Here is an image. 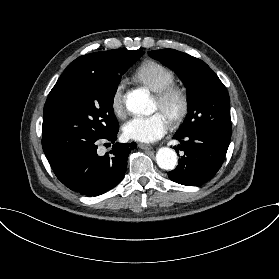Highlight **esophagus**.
Returning <instances> with one entry per match:
<instances>
[{"label": "esophagus", "mask_w": 279, "mask_h": 279, "mask_svg": "<svg viewBox=\"0 0 279 279\" xmlns=\"http://www.w3.org/2000/svg\"><path fill=\"white\" fill-rule=\"evenodd\" d=\"M139 148L143 149V150H151L152 146L150 144L147 143H138L137 145Z\"/></svg>", "instance_id": "1"}]
</instances>
